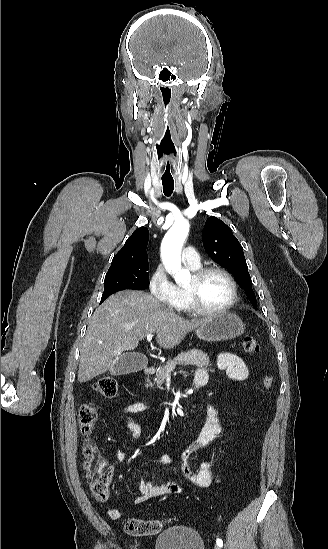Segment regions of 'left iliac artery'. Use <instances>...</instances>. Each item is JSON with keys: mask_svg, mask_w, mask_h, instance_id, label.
I'll return each instance as SVG.
<instances>
[{"mask_svg": "<svg viewBox=\"0 0 328 549\" xmlns=\"http://www.w3.org/2000/svg\"><path fill=\"white\" fill-rule=\"evenodd\" d=\"M216 543H217V545L220 546V547L223 546V541H222L220 538H218V539L216 540Z\"/></svg>", "mask_w": 328, "mask_h": 549, "instance_id": "left-iliac-artery-1", "label": "left iliac artery"}]
</instances>
